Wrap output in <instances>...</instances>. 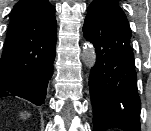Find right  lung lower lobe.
<instances>
[{"instance_id": "1", "label": "right lung lower lobe", "mask_w": 151, "mask_h": 131, "mask_svg": "<svg viewBox=\"0 0 151 131\" xmlns=\"http://www.w3.org/2000/svg\"><path fill=\"white\" fill-rule=\"evenodd\" d=\"M55 48L49 53V58L43 66L29 76L7 86H0V98L19 96L27 99L37 106L44 102L48 82L53 74Z\"/></svg>"}]
</instances>
